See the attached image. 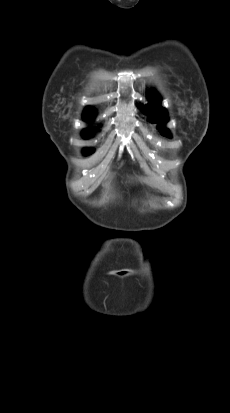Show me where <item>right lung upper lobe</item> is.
<instances>
[{
	"mask_svg": "<svg viewBox=\"0 0 230 413\" xmlns=\"http://www.w3.org/2000/svg\"><path fill=\"white\" fill-rule=\"evenodd\" d=\"M95 116H96L95 110L92 109V108H90V107H88V108H86V110L84 111L83 119H84L85 121H91Z\"/></svg>",
	"mask_w": 230,
	"mask_h": 413,
	"instance_id": "1",
	"label": "right lung upper lobe"
}]
</instances>
